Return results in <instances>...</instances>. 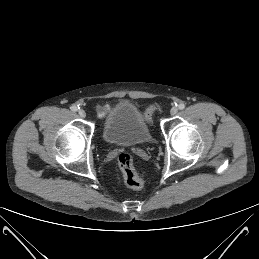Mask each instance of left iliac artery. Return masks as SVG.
<instances>
[{
  "mask_svg": "<svg viewBox=\"0 0 259 259\" xmlns=\"http://www.w3.org/2000/svg\"><path fill=\"white\" fill-rule=\"evenodd\" d=\"M178 108H179L180 110H183V109L185 108V104H184V103H180V104L178 105Z\"/></svg>",
  "mask_w": 259,
  "mask_h": 259,
  "instance_id": "1",
  "label": "left iliac artery"
}]
</instances>
